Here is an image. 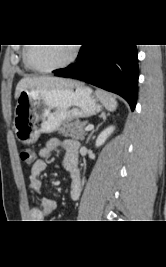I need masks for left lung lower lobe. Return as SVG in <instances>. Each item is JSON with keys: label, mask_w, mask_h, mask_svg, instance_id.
Returning <instances> with one entry per match:
<instances>
[{"label": "left lung lower lobe", "mask_w": 166, "mask_h": 267, "mask_svg": "<svg viewBox=\"0 0 166 267\" xmlns=\"http://www.w3.org/2000/svg\"><path fill=\"white\" fill-rule=\"evenodd\" d=\"M77 58L75 64L53 73L119 94L134 110L138 90L136 45H82Z\"/></svg>", "instance_id": "0a47b994"}]
</instances>
